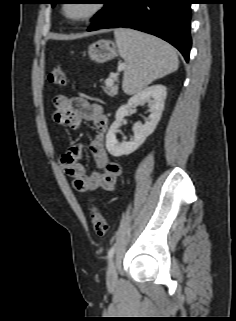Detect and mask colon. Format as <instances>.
<instances>
[{
    "label": "colon",
    "instance_id": "colon-1",
    "mask_svg": "<svg viewBox=\"0 0 236 321\" xmlns=\"http://www.w3.org/2000/svg\"><path fill=\"white\" fill-rule=\"evenodd\" d=\"M48 81L50 84L55 86H64L67 83L66 71L61 66H55L53 70L48 75ZM91 220L92 226L95 233L99 236H103L107 232V221L102 213L99 206L95 203H91Z\"/></svg>",
    "mask_w": 236,
    "mask_h": 321
}]
</instances>
